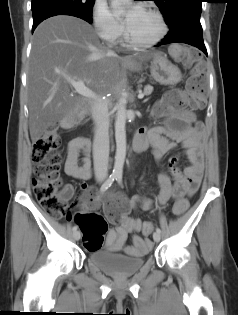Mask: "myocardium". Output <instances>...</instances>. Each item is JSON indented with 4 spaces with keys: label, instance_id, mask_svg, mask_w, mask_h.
I'll use <instances>...</instances> for the list:
<instances>
[{
    "label": "myocardium",
    "instance_id": "f54148a6",
    "mask_svg": "<svg viewBox=\"0 0 238 315\" xmlns=\"http://www.w3.org/2000/svg\"><path fill=\"white\" fill-rule=\"evenodd\" d=\"M142 9H145L146 11L150 12L151 14H153L157 18V20L159 22V26H160V31H159L158 35L155 38H153L152 40L137 41L131 37L129 30L126 26L125 27V33H124L125 40L129 45H131L132 47H135V48H148V47H152V46L158 44L166 36L167 31H168L166 21L162 15V13L159 10L152 8V7H144Z\"/></svg>",
    "mask_w": 238,
    "mask_h": 315
}]
</instances>
